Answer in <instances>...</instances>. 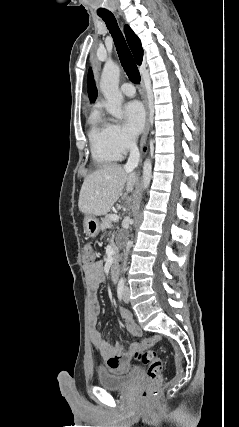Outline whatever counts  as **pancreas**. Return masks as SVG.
<instances>
[{"label": "pancreas", "instance_id": "1", "mask_svg": "<svg viewBox=\"0 0 239 427\" xmlns=\"http://www.w3.org/2000/svg\"><path fill=\"white\" fill-rule=\"evenodd\" d=\"M111 225H112V220L110 219V214H108L102 219L101 228L104 230V229L110 228Z\"/></svg>", "mask_w": 239, "mask_h": 427}]
</instances>
